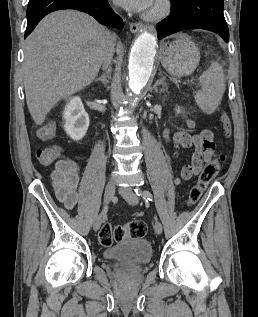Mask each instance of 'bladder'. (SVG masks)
Returning a JSON list of instances; mask_svg holds the SVG:
<instances>
[{
  "mask_svg": "<svg viewBox=\"0 0 258 317\" xmlns=\"http://www.w3.org/2000/svg\"><path fill=\"white\" fill-rule=\"evenodd\" d=\"M103 256L107 260L145 264L152 257V248L147 240L132 239L105 249Z\"/></svg>",
  "mask_w": 258,
  "mask_h": 317,
  "instance_id": "31cf9c89",
  "label": "bladder"
}]
</instances>
